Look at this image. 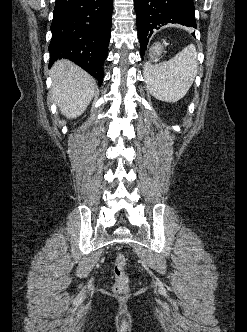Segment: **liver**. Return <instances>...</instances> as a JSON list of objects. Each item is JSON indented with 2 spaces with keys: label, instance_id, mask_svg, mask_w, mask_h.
Here are the masks:
<instances>
[{
  "label": "liver",
  "instance_id": "obj_1",
  "mask_svg": "<svg viewBox=\"0 0 247 332\" xmlns=\"http://www.w3.org/2000/svg\"><path fill=\"white\" fill-rule=\"evenodd\" d=\"M50 74L51 94L61 113L70 119L84 113L96 89L95 79L68 60L57 61Z\"/></svg>",
  "mask_w": 247,
  "mask_h": 332
}]
</instances>
